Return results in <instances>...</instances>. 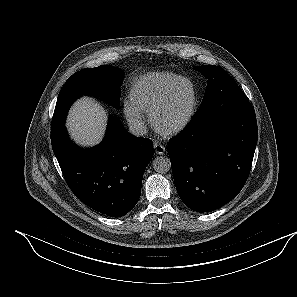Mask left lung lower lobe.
Wrapping results in <instances>:
<instances>
[{"label": "left lung lower lobe", "instance_id": "1", "mask_svg": "<svg viewBox=\"0 0 297 297\" xmlns=\"http://www.w3.org/2000/svg\"><path fill=\"white\" fill-rule=\"evenodd\" d=\"M258 131L249 101L204 109L176 137L168 153L175 186L186 206L210 212L243 188L252 165Z\"/></svg>", "mask_w": 297, "mask_h": 297}]
</instances>
